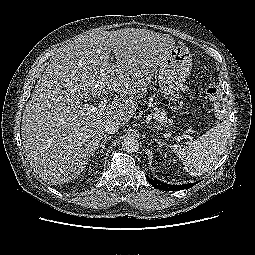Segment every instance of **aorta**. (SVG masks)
<instances>
[{
	"mask_svg": "<svg viewBox=\"0 0 255 255\" xmlns=\"http://www.w3.org/2000/svg\"><path fill=\"white\" fill-rule=\"evenodd\" d=\"M122 148L127 153H134L139 150V142L135 137L127 136L122 141Z\"/></svg>",
	"mask_w": 255,
	"mask_h": 255,
	"instance_id": "obj_1",
	"label": "aorta"
}]
</instances>
